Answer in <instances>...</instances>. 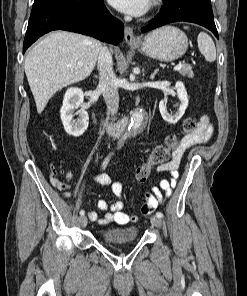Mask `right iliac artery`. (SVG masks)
<instances>
[{
    "mask_svg": "<svg viewBox=\"0 0 247 296\" xmlns=\"http://www.w3.org/2000/svg\"><path fill=\"white\" fill-rule=\"evenodd\" d=\"M109 158H110V156H108V157L105 159V161L103 162V165H102L103 169L107 166L108 161H109ZM84 214H85V211H84V210H81V211H80V215H81V216H84Z\"/></svg>",
    "mask_w": 247,
    "mask_h": 296,
    "instance_id": "right-iliac-artery-1",
    "label": "right iliac artery"
}]
</instances>
